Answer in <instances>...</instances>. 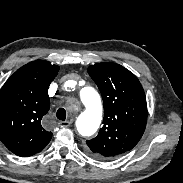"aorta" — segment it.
I'll return each instance as SVG.
<instances>
[{
    "label": "aorta",
    "instance_id": "762f6f07",
    "mask_svg": "<svg viewBox=\"0 0 183 183\" xmlns=\"http://www.w3.org/2000/svg\"><path fill=\"white\" fill-rule=\"evenodd\" d=\"M79 96L85 110L77 117L76 128L82 136H91L102 121L101 99L99 93L90 86L82 88Z\"/></svg>",
    "mask_w": 183,
    "mask_h": 183
}]
</instances>
